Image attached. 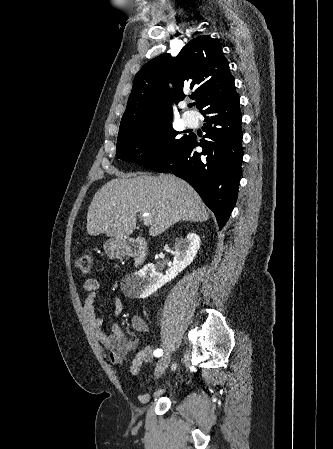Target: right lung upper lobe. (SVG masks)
<instances>
[{
	"label": "right lung upper lobe",
	"instance_id": "1",
	"mask_svg": "<svg viewBox=\"0 0 333 449\" xmlns=\"http://www.w3.org/2000/svg\"><path fill=\"white\" fill-rule=\"evenodd\" d=\"M169 82L174 85L173 98ZM187 87L194 89L192 96L200 112L217 98L235 92L234 77L222 47L209 35L191 40L177 57L165 53L143 66L134 79L117 141L170 121L171 100L182 101Z\"/></svg>",
	"mask_w": 333,
	"mask_h": 449
}]
</instances>
